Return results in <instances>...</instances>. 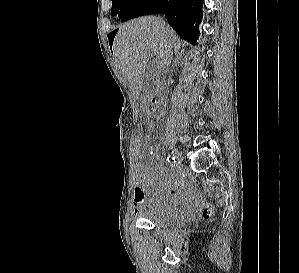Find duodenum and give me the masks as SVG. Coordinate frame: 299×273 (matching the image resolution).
<instances>
[{"instance_id": "obj_1", "label": "duodenum", "mask_w": 299, "mask_h": 273, "mask_svg": "<svg viewBox=\"0 0 299 273\" xmlns=\"http://www.w3.org/2000/svg\"><path fill=\"white\" fill-rule=\"evenodd\" d=\"M150 104L152 111L158 116H162L164 114V102L161 96L150 95Z\"/></svg>"}]
</instances>
